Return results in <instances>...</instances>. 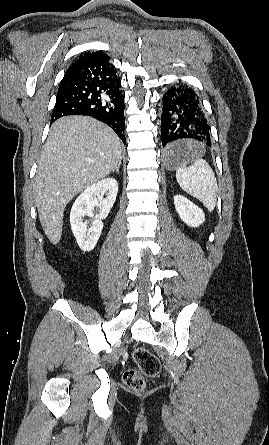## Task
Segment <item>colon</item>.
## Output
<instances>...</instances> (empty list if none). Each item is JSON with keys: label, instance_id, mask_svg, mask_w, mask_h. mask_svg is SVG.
I'll list each match as a JSON object with an SVG mask.
<instances>
[{"label": "colon", "instance_id": "colon-1", "mask_svg": "<svg viewBox=\"0 0 269 445\" xmlns=\"http://www.w3.org/2000/svg\"><path fill=\"white\" fill-rule=\"evenodd\" d=\"M137 369L130 368L123 373L124 383L133 390H143L145 378L155 377L161 370V364L157 356L148 349L137 347L132 353Z\"/></svg>", "mask_w": 269, "mask_h": 445}]
</instances>
